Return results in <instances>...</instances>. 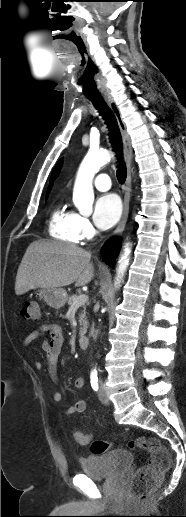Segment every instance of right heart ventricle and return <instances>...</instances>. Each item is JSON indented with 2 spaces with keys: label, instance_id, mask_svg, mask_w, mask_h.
Masks as SVG:
<instances>
[{
  "label": "right heart ventricle",
  "instance_id": "right-heart-ventricle-1",
  "mask_svg": "<svg viewBox=\"0 0 186 517\" xmlns=\"http://www.w3.org/2000/svg\"><path fill=\"white\" fill-rule=\"evenodd\" d=\"M49 234L55 239L77 244L80 237L75 229L74 213L61 204L57 205L49 218Z\"/></svg>",
  "mask_w": 186,
  "mask_h": 517
}]
</instances>
